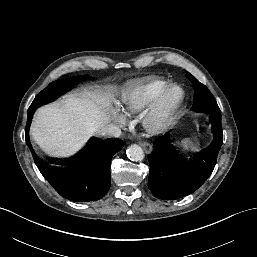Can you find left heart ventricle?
Returning a JSON list of instances; mask_svg holds the SVG:
<instances>
[{
    "mask_svg": "<svg viewBox=\"0 0 257 257\" xmlns=\"http://www.w3.org/2000/svg\"><path fill=\"white\" fill-rule=\"evenodd\" d=\"M179 97V91L177 89L172 90L168 95V101L174 102Z\"/></svg>",
    "mask_w": 257,
    "mask_h": 257,
    "instance_id": "left-heart-ventricle-1",
    "label": "left heart ventricle"
}]
</instances>
